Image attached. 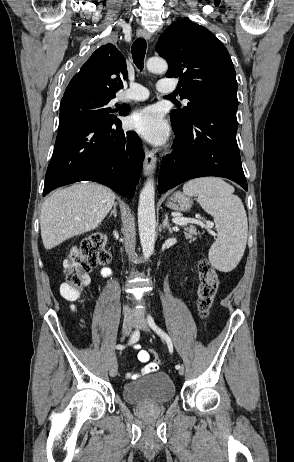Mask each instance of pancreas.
I'll use <instances>...</instances> for the list:
<instances>
[{"label":"pancreas","mask_w":294,"mask_h":462,"mask_svg":"<svg viewBox=\"0 0 294 462\" xmlns=\"http://www.w3.org/2000/svg\"><path fill=\"white\" fill-rule=\"evenodd\" d=\"M184 233H185V236L187 239L191 240V241H194L196 240V235L198 234L197 233V229L195 228V226H189L187 228L184 229Z\"/></svg>","instance_id":"1"}]
</instances>
